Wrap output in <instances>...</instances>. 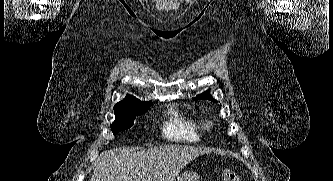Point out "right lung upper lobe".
I'll return each mask as SVG.
<instances>
[{"mask_svg":"<svg viewBox=\"0 0 333 181\" xmlns=\"http://www.w3.org/2000/svg\"><path fill=\"white\" fill-rule=\"evenodd\" d=\"M152 102H141L133 96H127L124 100L114 106V112H121L129 109L141 108L151 105Z\"/></svg>","mask_w":333,"mask_h":181,"instance_id":"cb5924a9","label":"right lung upper lobe"}]
</instances>
